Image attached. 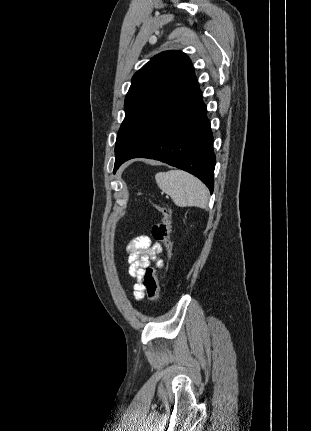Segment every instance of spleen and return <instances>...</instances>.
I'll list each match as a JSON object with an SVG mask.
<instances>
[{"mask_svg":"<svg viewBox=\"0 0 311 431\" xmlns=\"http://www.w3.org/2000/svg\"><path fill=\"white\" fill-rule=\"evenodd\" d=\"M156 184L162 192L168 194L176 206H196L206 208L208 204V190L198 178H194L182 170L159 172L155 176Z\"/></svg>","mask_w":311,"mask_h":431,"instance_id":"obj_1","label":"spleen"}]
</instances>
